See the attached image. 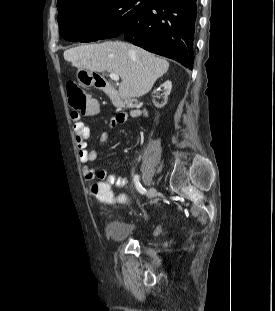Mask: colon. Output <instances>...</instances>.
Segmentation results:
<instances>
[{"label":"colon","mask_w":275,"mask_h":311,"mask_svg":"<svg viewBox=\"0 0 275 311\" xmlns=\"http://www.w3.org/2000/svg\"><path fill=\"white\" fill-rule=\"evenodd\" d=\"M67 96L71 108L76 113H83L85 117H92L93 113H98L94 97H88L87 93L77 84L70 82L66 85ZM114 183H93L92 197H97L98 202H111L114 196ZM121 197H128V190H121Z\"/></svg>","instance_id":"colon-1"}]
</instances>
